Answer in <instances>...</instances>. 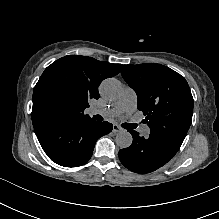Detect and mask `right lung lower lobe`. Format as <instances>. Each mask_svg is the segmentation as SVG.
<instances>
[{
    "instance_id": "1",
    "label": "right lung lower lobe",
    "mask_w": 219,
    "mask_h": 219,
    "mask_svg": "<svg viewBox=\"0 0 219 219\" xmlns=\"http://www.w3.org/2000/svg\"><path fill=\"white\" fill-rule=\"evenodd\" d=\"M33 127L47 156L64 167L85 164L96 141L113 129L111 123L92 119L36 120Z\"/></svg>"
}]
</instances>
